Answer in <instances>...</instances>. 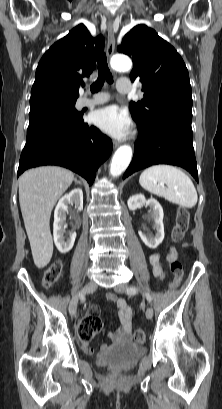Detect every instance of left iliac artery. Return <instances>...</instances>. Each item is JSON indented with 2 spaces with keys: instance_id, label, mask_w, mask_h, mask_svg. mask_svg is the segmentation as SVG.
Wrapping results in <instances>:
<instances>
[{
  "instance_id": "obj_1",
  "label": "left iliac artery",
  "mask_w": 222,
  "mask_h": 409,
  "mask_svg": "<svg viewBox=\"0 0 222 409\" xmlns=\"http://www.w3.org/2000/svg\"><path fill=\"white\" fill-rule=\"evenodd\" d=\"M137 292H138V289L136 287H130L127 289V294L129 295H134ZM145 296H146L147 301L150 303L152 301V297L148 293H145Z\"/></svg>"
}]
</instances>
